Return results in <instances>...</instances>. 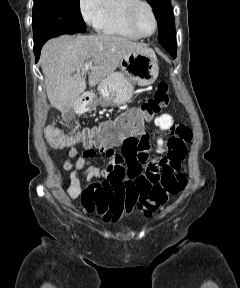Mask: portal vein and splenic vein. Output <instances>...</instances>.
I'll return each instance as SVG.
<instances>
[{
  "mask_svg": "<svg viewBox=\"0 0 240 288\" xmlns=\"http://www.w3.org/2000/svg\"><path fill=\"white\" fill-rule=\"evenodd\" d=\"M91 65V61L87 62L82 69L83 73H86L90 69Z\"/></svg>",
  "mask_w": 240,
  "mask_h": 288,
  "instance_id": "obj_1",
  "label": "portal vein and splenic vein"
}]
</instances>
